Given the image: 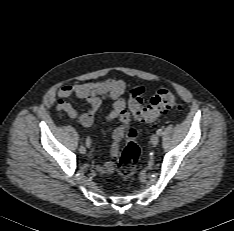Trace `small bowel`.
Here are the masks:
<instances>
[{
    "instance_id": "c3829d8e",
    "label": "small bowel",
    "mask_w": 234,
    "mask_h": 231,
    "mask_svg": "<svg viewBox=\"0 0 234 231\" xmlns=\"http://www.w3.org/2000/svg\"><path fill=\"white\" fill-rule=\"evenodd\" d=\"M127 85L125 81L116 78H108L102 81L77 83L73 85H64L58 91L59 101L57 109L65 112L69 117L77 119L84 127L90 128L94 123V115L102 104L104 98L114 100L112 110L107 115V121L121 119L124 127L129 124V115L126 111V103L123 95ZM74 95L83 101L87 109L79 113L69 102L67 98ZM114 161L111 160L103 165H97L96 170L101 174H111L114 171Z\"/></svg>"
}]
</instances>
